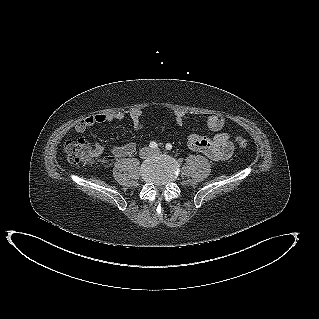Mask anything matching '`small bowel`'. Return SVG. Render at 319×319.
Listing matches in <instances>:
<instances>
[{"label": "small bowel", "mask_w": 319, "mask_h": 319, "mask_svg": "<svg viewBox=\"0 0 319 319\" xmlns=\"http://www.w3.org/2000/svg\"><path fill=\"white\" fill-rule=\"evenodd\" d=\"M176 123L179 126L185 125L188 120V115L183 110H175L173 112ZM123 112L100 113L86 117L83 121L75 126L78 133H83L87 129L96 124L112 122L115 120L124 119ZM133 127L140 130L144 127L141 120L142 111L140 109L132 110L129 113ZM206 124L213 131V135L202 136L196 133H190L187 136V146L192 151L200 152L214 161H225L229 159L234 151V144L231 141L230 134L223 130L224 118L217 113L208 114L205 117ZM105 150L102 143L96 142L93 149L95 157L100 156ZM136 151V144L129 142L123 146H114L108 150L107 160L112 161L117 158L132 156Z\"/></svg>", "instance_id": "1"}]
</instances>
